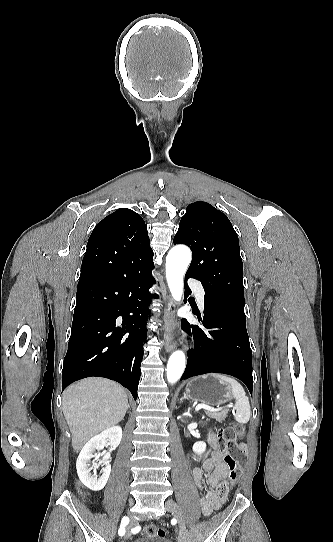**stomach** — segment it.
I'll return each instance as SVG.
<instances>
[{"label":"stomach","mask_w":333,"mask_h":542,"mask_svg":"<svg viewBox=\"0 0 333 542\" xmlns=\"http://www.w3.org/2000/svg\"><path fill=\"white\" fill-rule=\"evenodd\" d=\"M185 394L193 402H202L208 406H223L233 400L228 386L220 384L212 374L189 380L186 384Z\"/></svg>","instance_id":"stomach-1"}]
</instances>
